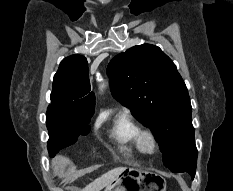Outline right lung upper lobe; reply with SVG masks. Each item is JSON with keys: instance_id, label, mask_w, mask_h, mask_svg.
<instances>
[{"instance_id": "obj_1", "label": "right lung upper lobe", "mask_w": 233, "mask_h": 191, "mask_svg": "<svg viewBox=\"0 0 233 191\" xmlns=\"http://www.w3.org/2000/svg\"><path fill=\"white\" fill-rule=\"evenodd\" d=\"M50 97L49 107L78 113L94 111L95 95L90 92L88 63L84 56L75 54L62 60Z\"/></svg>"}]
</instances>
